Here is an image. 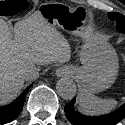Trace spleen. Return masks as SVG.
<instances>
[{"instance_id":"spleen-1","label":"spleen","mask_w":125,"mask_h":125,"mask_svg":"<svg viewBox=\"0 0 125 125\" xmlns=\"http://www.w3.org/2000/svg\"><path fill=\"white\" fill-rule=\"evenodd\" d=\"M77 103L78 109L87 115L108 113L117 106L116 100L101 99L87 90H80Z\"/></svg>"}]
</instances>
